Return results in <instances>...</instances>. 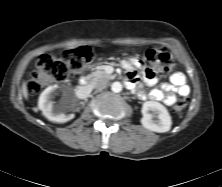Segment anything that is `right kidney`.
<instances>
[{"label": "right kidney", "mask_w": 222, "mask_h": 187, "mask_svg": "<svg viewBox=\"0 0 222 187\" xmlns=\"http://www.w3.org/2000/svg\"><path fill=\"white\" fill-rule=\"evenodd\" d=\"M58 89L57 85L46 88L40 95L38 100V108L42 111L43 115L50 121L64 123L74 118V114L66 115L61 112L64 106L63 102L60 105H55L52 101L53 96Z\"/></svg>", "instance_id": "ca27d5eb"}]
</instances>
